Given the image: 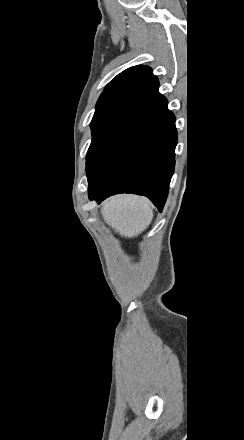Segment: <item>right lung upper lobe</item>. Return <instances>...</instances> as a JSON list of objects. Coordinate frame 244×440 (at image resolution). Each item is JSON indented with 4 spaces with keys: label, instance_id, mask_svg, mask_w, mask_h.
<instances>
[{
    "label": "right lung upper lobe",
    "instance_id": "cb5924a9",
    "mask_svg": "<svg viewBox=\"0 0 244 440\" xmlns=\"http://www.w3.org/2000/svg\"><path fill=\"white\" fill-rule=\"evenodd\" d=\"M158 79L147 66L130 67L118 74L104 89L98 101L120 97L142 99L158 89Z\"/></svg>",
    "mask_w": 244,
    "mask_h": 440
}]
</instances>
